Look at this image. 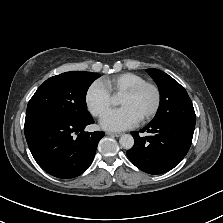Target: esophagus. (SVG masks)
I'll use <instances>...</instances> for the list:
<instances>
[{"instance_id":"34e87169","label":"esophagus","mask_w":223,"mask_h":223,"mask_svg":"<svg viewBox=\"0 0 223 223\" xmlns=\"http://www.w3.org/2000/svg\"><path fill=\"white\" fill-rule=\"evenodd\" d=\"M106 134L109 135V136H113V137L121 136V133L106 132Z\"/></svg>"}]
</instances>
